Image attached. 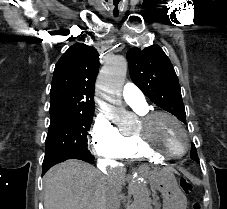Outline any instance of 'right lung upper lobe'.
<instances>
[{
  "label": "right lung upper lobe",
  "instance_id": "obj_1",
  "mask_svg": "<svg viewBox=\"0 0 227 209\" xmlns=\"http://www.w3.org/2000/svg\"><path fill=\"white\" fill-rule=\"evenodd\" d=\"M99 70V54L82 43L69 47L57 62L50 91V110L64 99L94 101L95 80ZM49 110V111H50Z\"/></svg>",
  "mask_w": 227,
  "mask_h": 209
}]
</instances>
